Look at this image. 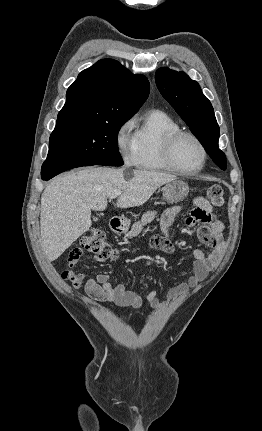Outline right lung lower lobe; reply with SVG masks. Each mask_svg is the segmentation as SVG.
<instances>
[{
	"label": "right lung lower lobe",
	"instance_id": "right-lung-lower-lobe-1",
	"mask_svg": "<svg viewBox=\"0 0 262 431\" xmlns=\"http://www.w3.org/2000/svg\"><path fill=\"white\" fill-rule=\"evenodd\" d=\"M91 165L96 164L78 161L44 162L41 169V178L45 181H48L49 179L66 170Z\"/></svg>",
	"mask_w": 262,
	"mask_h": 431
}]
</instances>
